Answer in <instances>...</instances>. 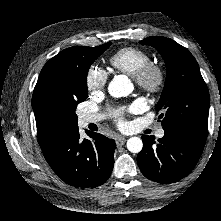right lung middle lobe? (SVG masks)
Returning a JSON list of instances; mask_svg holds the SVG:
<instances>
[{
	"instance_id": "right-lung-middle-lobe-1",
	"label": "right lung middle lobe",
	"mask_w": 221,
	"mask_h": 221,
	"mask_svg": "<svg viewBox=\"0 0 221 221\" xmlns=\"http://www.w3.org/2000/svg\"><path fill=\"white\" fill-rule=\"evenodd\" d=\"M111 42L97 47H88L85 53L69 65L65 81L55 86V96L67 107L72 115V125L77 126L75 109L88 96L87 73L92 63L109 48Z\"/></svg>"
}]
</instances>
